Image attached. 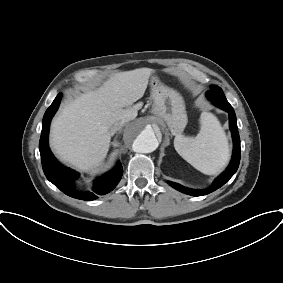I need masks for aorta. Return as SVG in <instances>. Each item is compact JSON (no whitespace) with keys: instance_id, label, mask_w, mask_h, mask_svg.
Wrapping results in <instances>:
<instances>
[{"instance_id":"aorta-1","label":"aorta","mask_w":283,"mask_h":283,"mask_svg":"<svg viewBox=\"0 0 283 283\" xmlns=\"http://www.w3.org/2000/svg\"><path fill=\"white\" fill-rule=\"evenodd\" d=\"M125 141L138 153H151L159 145L152 126L146 122L131 124L124 135Z\"/></svg>"}]
</instances>
